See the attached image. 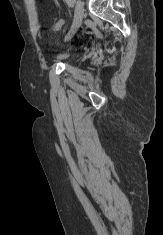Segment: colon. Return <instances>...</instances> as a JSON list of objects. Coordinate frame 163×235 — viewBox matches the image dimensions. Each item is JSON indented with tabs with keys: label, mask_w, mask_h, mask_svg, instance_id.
Returning a JSON list of instances; mask_svg holds the SVG:
<instances>
[{
	"label": "colon",
	"mask_w": 163,
	"mask_h": 235,
	"mask_svg": "<svg viewBox=\"0 0 163 235\" xmlns=\"http://www.w3.org/2000/svg\"><path fill=\"white\" fill-rule=\"evenodd\" d=\"M64 25V20L63 19H59L57 20L54 24H53V29L54 30H59L63 27Z\"/></svg>",
	"instance_id": "colon-1"
}]
</instances>
